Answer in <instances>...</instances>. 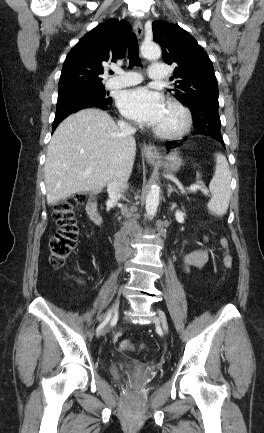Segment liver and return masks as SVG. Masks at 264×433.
I'll use <instances>...</instances> for the list:
<instances>
[{
  "label": "liver",
  "mask_w": 264,
  "mask_h": 433,
  "mask_svg": "<svg viewBox=\"0 0 264 433\" xmlns=\"http://www.w3.org/2000/svg\"><path fill=\"white\" fill-rule=\"evenodd\" d=\"M135 155L134 138L123 136L108 113L85 109L70 115L48 146L44 165L48 205L76 193L100 192L112 174L128 179ZM86 169L91 173L84 175Z\"/></svg>",
  "instance_id": "6515ba94"
}]
</instances>
